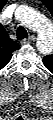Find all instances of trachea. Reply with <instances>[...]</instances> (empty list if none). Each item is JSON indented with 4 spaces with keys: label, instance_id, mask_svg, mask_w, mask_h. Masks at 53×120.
<instances>
[{
    "label": "trachea",
    "instance_id": "trachea-1",
    "mask_svg": "<svg viewBox=\"0 0 53 120\" xmlns=\"http://www.w3.org/2000/svg\"><path fill=\"white\" fill-rule=\"evenodd\" d=\"M16 34H17V39L18 40L28 38V33H27L26 29L22 26H19L17 28Z\"/></svg>",
    "mask_w": 53,
    "mask_h": 120
}]
</instances>
